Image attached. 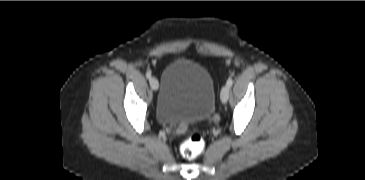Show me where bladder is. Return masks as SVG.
Listing matches in <instances>:
<instances>
[{
  "mask_svg": "<svg viewBox=\"0 0 365 180\" xmlns=\"http://www.w3.org/2000/svg\"><path fill=\"white\" fill-rule=\"evenodd\" d=\"M215 98L216 86L208 70L196 61L178 59L163 72L155 118L168 126L206 120L213 113Z\"/></svg>",
  "mask_w": 365,
  "mask_h": 180,
  "instance_id": "obj_1",
  "label": "bladder"
}]
</instances>
